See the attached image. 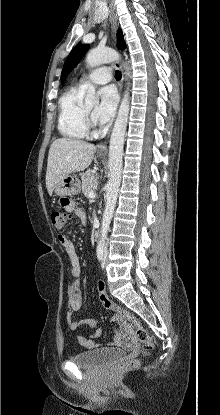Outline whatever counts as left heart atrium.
I'll list each match as a JSON object with an SVG mask.
<instances>
[{"label": "left heart atrium", "mask_w": 220, "mask_h": 415, "mask_svg": "<svg viewBox=\"0 0 220 415\" xmlns=\"http://www.w3.org/2000/svg\"><path fill=\"white\" fill-rule=\"evenodd\" d=\"M100 102L93 111V118L101 124L108 123L114 117L118 96L115 89L111 86L102 88L99 92Z\"/></svg>", "instance_id": "39dd6f15"}]
</instances>
